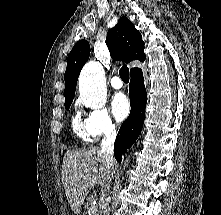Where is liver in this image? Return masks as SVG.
I'll list each match as a JSON object with an SVG mask.
<instances>
[{
	"label": "liver",
	"instance_id": "6515ba94",
	"mask_svg": "<svg viewBox=\"0 0 221 215\" xmlns=\"http://www.w3.org/2000/svg\"><path fill=\"white\" fill-rule=\"evenodd\" d=\"M112 165L104 159L99 148L66 152L61 176L67 200L75 214L80 212L81 205L93 186L99 184L104 193L111 181Z\"/></svg>",
	"mask_w": 221,
	"mask_h": 215
}]
</instances>
